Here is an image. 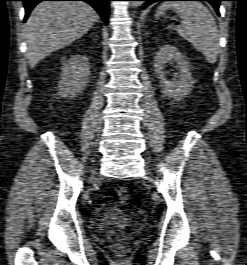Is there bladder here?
Returning <instances> with one entry per match:
<instances>
[{
    "label": "bladder",
    "instance_id": "obj_1",
    "mask_svg": "<svg viewBox=\"0 0 247 265\" xmlns=\"http://www.w3.org/2000/svg\"><path fill=\"white\" fill-rule=\"evenodd\" d=\"M134 221V217L121 212L116 209L108 210L99 225V231L101 233L116 232L123 227L131 224Z\"/></svg>",
    "mask_w": 247,
    "mask_h": 265
}]
</instances>
